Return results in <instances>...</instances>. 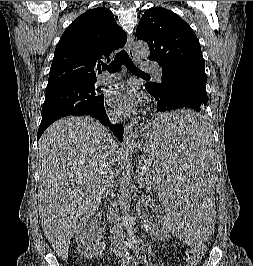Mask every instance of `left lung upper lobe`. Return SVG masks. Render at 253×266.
<instances>
[{
    "label": "left lung upper lobe",
    "mask_w": 253,
    "mask_h": 266,
    "mask_svg": "<svg viewBox=\"0 0 253 266\" xmlns=\"http://www.w3.org/2000/svg\"><path fill=\"white\" fill-rule=\"evenodd\" d=\"M136 36L150 46L149 59L162 67V78L173 72L190 71L207 79L199 40L175 13L160 7L148 9L137 26ZM150 84L161 87L163 82Z\"/></svg>",
    "instance_id": "5c2ea615"
}]
</instances>
